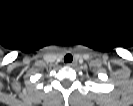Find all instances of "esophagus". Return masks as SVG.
<instances>
[{
  "label": "esophagus",
  "mask_w": 133,
  "mask_h": 106,
  "mask_svg": "<svg viewBox=\"0 0 133 106\" xmlns=\"http://www.w3.org/2000/svg\"><path fill=\"white\" fill-rule=\"evenodd\" d=\"M76 62H71V63H67V66H69V67H74V66H76Z\"/></svg>",
  "instance_id": "1"
}]
</instances>
